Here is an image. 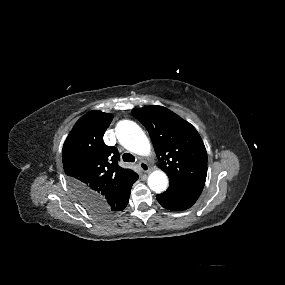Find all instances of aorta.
I'll return each instance as SVG.
<instances>
[{
  "mask_svg": "<svg viewBox=\"0 0 285 285\" xmlns=\"http://www.w3.org/2000/svg\"><path fill=\"white\" fill-rule=\"evenodd\" d=\"M116 136L119 142L128 151L141 155L149 156L151 154V144L144 131L138 124L131 120H122L116 126ZM168 177L161 170L153 171L148 177L149 188L162 193L168 187Z\"/></svg>",
  "mask_w": 285,
  "mask_h": 285,
  "instance_id": "aorta-1",
  "label": "aorta"
}]
</instances>
